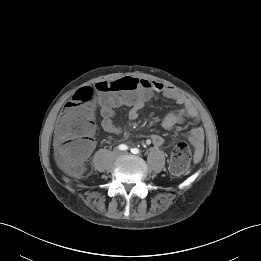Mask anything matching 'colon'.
Returning a JSON list of instances; mask_svg holds the SVG:
<instances>
[{
  "label": "colon",
  "instance_id": "colon-1",
  "mask_svg": "<svg viewBox=\"0 0 261 261\" xmlns=\"http://www.w3.org/2000/svg\"><path fill=\"white\" fill-rule=\"evenodd\" d=\"M153 83L133 77H124L113 82L102 81L94 87H82L78 89L72 100L77 104L91 105L98 94L106 99L135 100L140 92L147 93ZM90 109L85 108L80 112H70L64 122V129L68 136L61 141L58 153V163L69 174L78 176L83 170V159L89 150L91 139L86 131V124ZM192 161V151L188 143L179 142L170 158V170L181 175L188 171Z\"/></svg>",
  "mask_w": 261,
  "mask_h": 261
}]
</instances>
